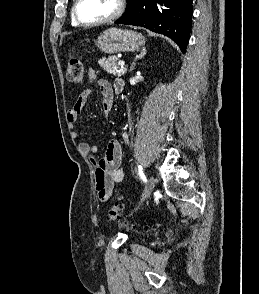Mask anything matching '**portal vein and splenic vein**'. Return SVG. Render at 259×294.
Listing matches in <instances>:
<instances>
[{"label":"portal vein and splenic vein","instance_id":"portal-vein-and-splenic-vein-1","mask_svg":"<svg viewBox=\"0 0 259 294\" xmlns=\"http://www.w3.org/2000/svg\"><path fill=\"white\" fill-rule=\"evenodd\" d=\"M118 65H119V66H124V65H125V62H124V61H119V62H118Z\"/></svg>","mask_w":259,"mask_h":294}]
</instances>
